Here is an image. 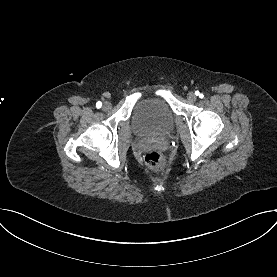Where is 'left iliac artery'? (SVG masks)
<instances>
[{
    "instance_id": "left-iliac-artery-1",
    "label": "left iliac artery",
    "mask_w": 277,
    "mask_h": 277,
    "mask_svg": "<svg viewBox=\"0 0 277 277\" xmlns=\"http://www.w3.org/2000/svg\"><path fill=\"white\" fill-rule=\"evenodd\" d=\"M198 94H199V93H197V95H198ZM199 97H201V98H202V97H203V95H202V94H199Z\"/></svg>"
}]
</instances>
